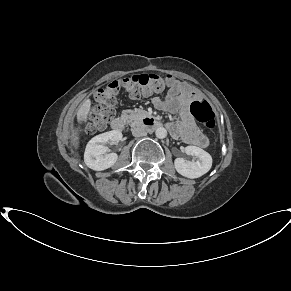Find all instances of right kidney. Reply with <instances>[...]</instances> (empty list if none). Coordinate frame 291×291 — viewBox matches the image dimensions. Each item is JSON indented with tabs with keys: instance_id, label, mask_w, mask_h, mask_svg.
Masks as SVG:
<instances>
[{
	"instance_id": "ca27d5eb",
	"label": "right kidney",
	"mask_w": 291,
	"mask_h": 291,
	"mask_svg": "<svg viewBox=\"0 0 291 291\" xmlns=\"http://www.w3.org/2000/svg\"><path fill=\"white\" fill-rule=\"evenodd\" d=\"M122 139V133L118 130L102 133L92 138L85 149L84 162L92 170L102 171L112 167L117 159L116 153H108L106 142L117 143Z\"/></svg>"
}]
</instances>
